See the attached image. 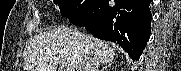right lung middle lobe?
<instances>
[{"instance_id":"dd1d6c3e","label":"right lung middle lobe","mask_w":181,"mask_h":71,"mask_svg":"<svg viewBox=\"0 0 181 71\" xmlns=\"http://www.w3.org/2000/svg\"><path fill=\"white\" fill-rule=\"evenodd\" d=\"M53 2L59 7L64 17L70 18L85 13L92 8L98 0H54Z\"/></svg>"}]
</instances>
